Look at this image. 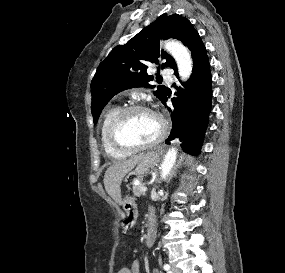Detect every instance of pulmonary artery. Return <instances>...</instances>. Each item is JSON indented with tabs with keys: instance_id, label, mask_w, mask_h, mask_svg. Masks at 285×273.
<instances>
[{
	"instance_id": "e3ab8cb5",
	"label": "pulmonary artery",
	"mask_w": 285,
	"mask_h": 273,
	"mask_svg": "<svg viewBox=\"0 0 285 273\" xmlns=\"http://www.w3.org/2000/svg\"><path fill=\"white\" fill-rule=\"evenodd\" d=\"M161 75L163 78L167 79V80H171L172 76H173V71L170 68H164L161 71Z\"/></svg>"
}]
</instances>
